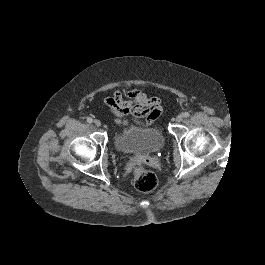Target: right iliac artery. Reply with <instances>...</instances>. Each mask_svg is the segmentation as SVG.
<instances>
[{
    "instance_id": "obj_1",
    "label": "right iliac artery",
    "mask_w": 265,
    "mask_h": 265,
    "mask_svg": "<svg viewBox=\"0 0 265 265\" xmlns=\"http://www.w3.org/2000/svg\"><path fill=\"white\" fill-rule=\"evenodd\" d=\"M87 122H88V123H92V122H93V119L90 118V117H88V118H87Z\"/></svg>"
}]
</instances>
